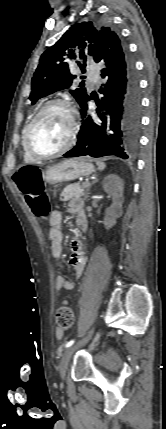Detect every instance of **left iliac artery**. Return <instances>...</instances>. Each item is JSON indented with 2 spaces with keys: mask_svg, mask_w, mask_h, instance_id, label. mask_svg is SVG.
<instances>
[{
  "mask_svg": "<svg viewBox=\"0 0 166 429\" xmlns=\"http://www.w3.org/2000/svg\"><path fill=\"white\" fill-rule=\"evenodd\" d=\"M74 342H75V340H70L69 342H67L65 344V348H68V347L72 346L74 344Z\"/></svg>",
  "mask_w": 166,
  "mask_h": 429,
  "instance_id": "44dca946",
  "label": "left iliac artery"
}]
</instances>
